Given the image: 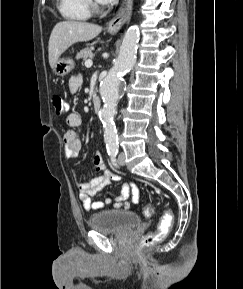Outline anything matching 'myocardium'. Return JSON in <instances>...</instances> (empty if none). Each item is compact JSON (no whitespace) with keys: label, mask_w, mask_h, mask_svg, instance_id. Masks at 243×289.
Segmentation results:
<instances>
[{"label":"myocardium","mask_w":243,"mask_h":289,"mask_svg":"<svg viewBox=\"0 0 243 289\" xmlns=\"http://www.w3.org/2000/svg\"><path fill=\"white\" fill-rule=\"evenodd\" d=\"M87 1H88L89 9L91 12L93 13L102 12V8L97 0H87Z\"/></svg>","instance_id":"myocardium-1"}]
</instances>
